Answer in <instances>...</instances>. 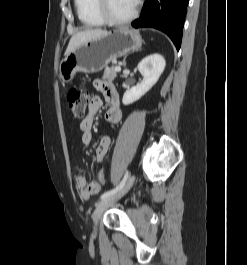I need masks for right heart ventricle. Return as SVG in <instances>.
Here are the masks:
<instances>
[{"label": "right heart ventricle", "mask_w": 247, "mask_h": 265, "mask_svg": "<svg viewBox=\"0 0 247 265\" xmlns=\"http://www.w3.org/2000/svg\"><path fill=\"white\" fill-rule=\"evenodd\" d=\"M80 21L88 27H98L105 24L96 9V0H74Z\"/></svg>", "instance_id": "e07e8e85"}]
</instances>
